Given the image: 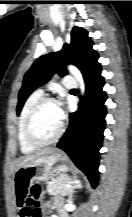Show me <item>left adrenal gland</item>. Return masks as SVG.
Returning <instances> with one entry per match:
<instances>
[{
    "label": "left adrenal gland",
    "mask_w": 132,
    "mask_h": 217,
    "mask_svg": "<svg viewBox=\"0 0 132 217\" xmlns=\"http://www.w3.org/2000/svg\"><path fill=\"white\" fill-rule=\"evenodd\" d=\"M81 186H82L81 181L77 177H75L72 182V187L70 189V192L68 194L69 195L68 200H72L74 189L81 188Z\"/></svg>",
    "instance_id": "1"
}]
</instances>
